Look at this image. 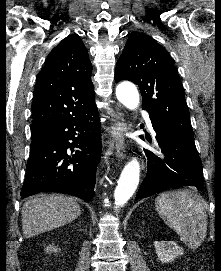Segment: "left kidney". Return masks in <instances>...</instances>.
<instances>
[{"label": "left kidney", "instance_id": "5707ae66", "mask_svg": "<svg viewBox=\"0 0 221 271\" xmlns=\"http://www.w3.org/2000/svg\"><path fill=\"white\" fill-rule=\"evenodd\" d=\"M155 251L158 259L163 263L174 261L177 255H182L183 247H180L176 241H154Z\"/></svg>", "mask_w": 221, "mask_h": 271}]
</instances>
